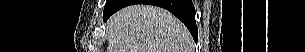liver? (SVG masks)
<instances>
[{"label": "liver", "mask_w": 305, "mask_h": 52, "mask_svg": "<svg viewBox=\"0 0 305 52\" xmlns=\"http://www.w3.org/2000/svg\"><path fill=\"white\" fill-rule=\"evenodd\" d=\"M107 52H192L189 31L167 10L151 5L121 9L107 22Z\"/></svg>", "instance_id": "liver-1"}]
</instances>
